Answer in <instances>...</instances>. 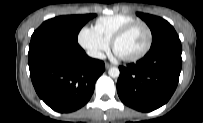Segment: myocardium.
<instances>
[{"mask_svg":"<svg viewBox=\"0 0 203 123\" xmlns=\"http://www.w3.org/2000/svg\"><path fill=\"white\" fill-rule=\"evenodd\" d=\"M137 26H143L145 28L147 35H148L147 44L141 52H139L133 56H128V57L119 56L124 61H128V62L137 61V60L143 58L151 49L152 42H153L152 30L147 23H145L144 21L138 20V21L132 22V23L124 26L113 36V38L111 40V45H112L113 51L116 53L117 42L120 39H122L125 35H127L133 28H135Z\"/></svg>","mask_w":203,"mask_h":123,"instance_id":"obj_1","label":"myocardium"}]
</instances>
